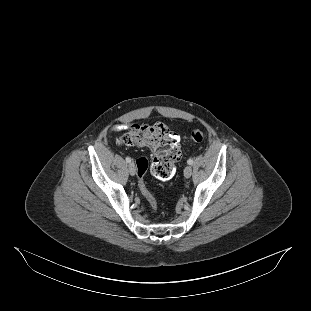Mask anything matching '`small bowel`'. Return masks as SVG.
<instances>
[{"mask_svg":"<svg viewBox=\"0 0 311 311\" xmlns=\"http://www.w3.org/2000/svg\"><path fill=\"white\" fill-rule=\"evenodd\" d=\"M126 128H128V126L127 125H117V126H115V130H124V129H126Z\"/></svg>","mask_w":311,"mask_h":311,"instance_id":"c3829d8e","label":"small bowel"}]
</instances>
